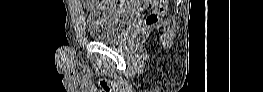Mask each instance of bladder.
I'll use <instances>...</instances> for the list:
<instances>
[{
    "mask_svg": "<svg viewBox=\"0 0 263 92\" xmlns=\"http://www.w3.org/2000/svg\"><path fill=\"white\" fill-rule=\"evenodd\" d=\"M112 2L100 1L88 14L89 35L95 41L118 43L136 20V9L116 8Z\"/></svg>",
    "mask_w": 263,
    "mask_h": 92,
    "instance_id": "bladder-1",
    "label": "bladder"
}]
</instances>
